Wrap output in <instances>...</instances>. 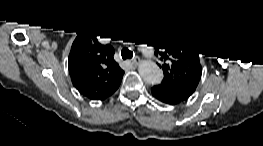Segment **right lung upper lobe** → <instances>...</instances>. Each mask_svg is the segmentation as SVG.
<instances>
[{
    "label": "right lung upper lobe",
    "mask_w": 263,
    "mask_h": 146,
    "mask_svg": "<svg viewBox=\"0 0 263 146\" xmlns=\"http://www.w3.org/2000/svg\"><path fill=\"white\" fill-rule=\"evenodd\" d=\"M94 27L78 33L68 58L74 87L91 100H104L120 86L124 71L115 62L111 45H101Z\"/></svg>",
    "instance_id": "right-lung-upper-lobe-1"
}]
</instances>
